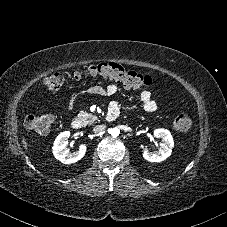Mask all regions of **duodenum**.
<instances>
[{"mask_svg":"<svg viewBox=\"0 0 227 227\" xmlns=\"http://www.w3.org/2000/svg\"><path fill=\"white\" fill-rule=\"evenodd\" d=\"M118 111L116 109H110L106 114L107 121H113L117 118ZM72 128L75 130H80L83 127V121L81 119H75L72 121Z\"/></svg>","mask_w":227,"mask_h":227,"instance_id":"obj_1","label":"duodenum"}]
</instances>
